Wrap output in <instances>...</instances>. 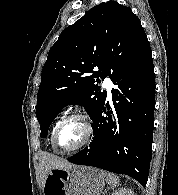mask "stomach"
<instances>
[{
	"instance_id": "0dacf381",
	"label": "stomach",
	"mask_w": 178,
	"mask_h": 195,
	"mask_svg": "<svg viewBox=\"0 0 178 195\" xmlns=\"http://www.w3.org/2000/svg\"><path fill=\"white\" fill-rule=\"evenodd\" d=\"M56 181V195H101L105 191L103 171L90 166H75L72 169H52L47 180Z\"/></svg>"
}]
</instances>
